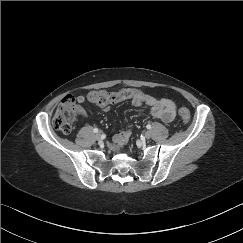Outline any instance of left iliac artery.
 I'll return each mask as SVG.
<instances>
[{"label":"left iliac artery","instance_id":"44dca946","mask_svg":"<svg viewBox=\"0 0 243 243\" xmlns=\"http://www.w3.org/2000/svg\"><path fill=\"white\" fill-rule=\"evenodd\" d=\"M146 128H147V129H151V125H150V124H147V125H146Z\"/></svg>","mask_w":243,"mask_h":243}]
</instances>
